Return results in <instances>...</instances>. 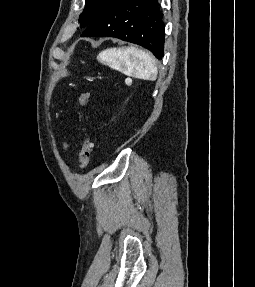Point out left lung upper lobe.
Masks as SVG:
<instances>
[{
  "mask_svg": "<svg viewBox=\"0 0 255 287\" xmlns=\"http://www.w3.org/2000/svg\"><path fill=\"white\" fill-rule=\"evenodd\" d=\"M113 0H85V8L80 15L81 28L90 24Z\"/></svg>",
  "mask_w": 255,
  "mask_h": 287,
  "instance_id": "left-lung-upper-lobe-1",
  "label": "left lung upper lobe"
}]
</instances>
